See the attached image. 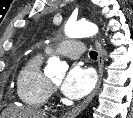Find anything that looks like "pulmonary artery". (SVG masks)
Returning a JSON list of instances; mask_svg holds the SVG:
<instances>
[{
    "label": "pulmonary artery",
    "instance_id": "1",
    "mask_svg": "<svg viewBox=\"0 0 133 118\" xmlns=\"http://www.w3.org/2000/svg\"><path fill=\"white\" fill-rule=\"evenodd\" d=\"M85 50V45L80 40H65L57 44L55 47H48L47 53L56 52L70 59L80 58Z\"/></svg>",
    "mask_w": 133,
    "mask_h": 118
}]
</instances>
